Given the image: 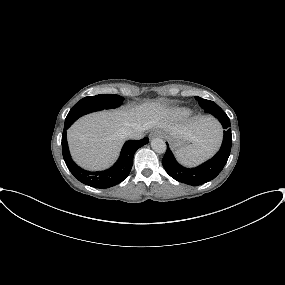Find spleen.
Segmentation results:
<instances>
[{"label":"spleen","mask_w":285,"mask_h":285,"mask_svg":"<svg viewBox=\"0 0 285 285\" xmlns=\"http://www.w3.org/2000/svg\"><path fill=\"white\" fill-rule=\"evenodd\" d=\"M219 129V126H218ZM221 141L220 129L217 135L208 142L191 144L176 151L177 159L186 166H193L212 156Z\"/></svg>","instance_id":"3e777b00"}]
</instances>
